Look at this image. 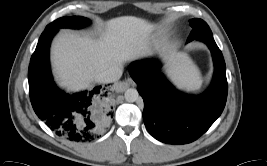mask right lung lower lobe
Listing matches in <instances>:
<instances>
[{"instance_id":"right-lung-lower-lobe-1","label":"right lung lower lobe","mask_w":267,"mask_h":166,"mask_svg":"<svg viewBox=\"0 0 267 166\" xmlns=\"http://www.w3.org/2000/svg\"><path fill=\"white\" fill-rule=\"evenodd\" d=\"M56 28L45 29L31 57L29 94L37 116L58 136L73 142L95 138L113 117L106 87L67 94L55 85L49 64V47Z\"/></svg>"}]
</instances>
